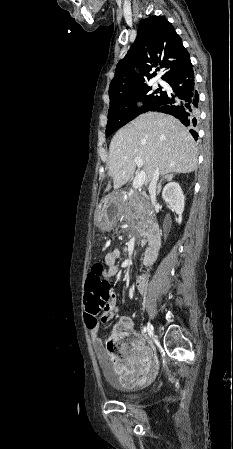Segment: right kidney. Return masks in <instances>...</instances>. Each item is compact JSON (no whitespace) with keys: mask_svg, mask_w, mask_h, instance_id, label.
I'll return each instance as SVG.
<instances>
[{"mask_svg":"<svg viewBox=\"0 0 233 449\" xmlns=\"http://www.w3.org/2000/svg\"><path fill=\"white\" fill-rule=\"evenodd\" d=\"M162 198L170 205L171 209L175 211L176 214H178L179 217L177 219V222L181 224L182 213L185 206V197L179 183H168L163 189Z\"/></svg>","mask_w":233,"mask_h":449,"instance_id":"ca27d5eb","label":"right kidney"}]
</instances>
